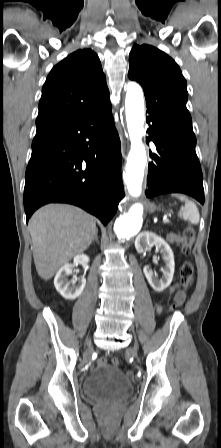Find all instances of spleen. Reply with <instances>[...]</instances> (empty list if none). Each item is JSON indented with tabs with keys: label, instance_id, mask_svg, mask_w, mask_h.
Segmentation results:
<instances>
[{
	"label": "spleen",
	"instance_id": "3e777b00",
	"mask_svg": "<svg viewBox=\"0 0 221 448\" xmlns=\"http://www.w3.org/2000/svg\"><path fill=\"white\" fill-rule=\"evenodd\" d=\"M172 196L184 202V206L180 209L179 216L188 220L192 224L199 223L200 215L196 204L184 195L174 194Z\"/></svg>",
	"mask_w": 221,
	"mask_h": 448
}]
</instances>
